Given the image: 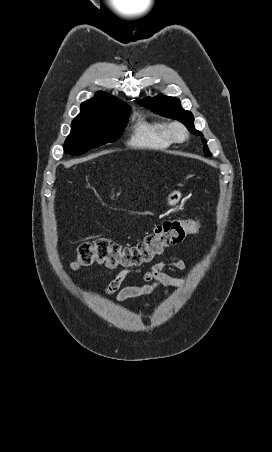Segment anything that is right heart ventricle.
Wrapping results in <instances>:
<instances>
[{
    "instance_id": "e07e8e85",
    "label": "right heart ventricle",
    "mask_w": 272,
    "mask_h": 452,
    "mask_svg": "<svg viewBox=\"0 0 272 452\" xmlns=\"http://www.w3.org/2000/svg\"><path fill=\"white\" fill-rule=\"evenodd\" d=\"M169 128V123L163 120L138 119L133 126L129 144L138 149H166L173 143Z\"/></svg>"
}]
</instances>
